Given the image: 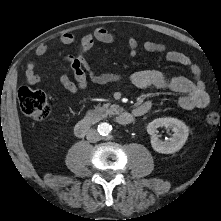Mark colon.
Listing matches in <instances>:
<instances>
[{"label":"colon","mask_w":221,"mask_h":221,"mask_svg":"<svg viewBox=\"0 0 221 221\" xmlns=\"http://www.w3.org/2000/svg\"><path fill=\"white\" fill-rule=\"evenodd\" d=\"M18 104L21 111L35 121L46 119L51 111L46 95L42 91L33 90L28 87L19 89ZM206 123L211 127L221 125V115L217 112L208 113Z\"/></svg>","instance_id":"colon-1"}]
</instances>
